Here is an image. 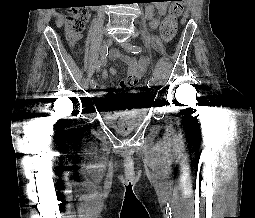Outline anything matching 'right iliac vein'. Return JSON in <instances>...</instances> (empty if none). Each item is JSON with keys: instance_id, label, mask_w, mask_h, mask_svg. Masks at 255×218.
Returning <instances> with one entry per match:
<instances>
[{"instance_id": "1", "label": "right iliac vein", "mask_w": 255, "mask_h": 218, "mask_svg": "<svg viewBox=\"0 0 255 218\" xmlns=\"http://www.w3.org/2000/svg\"><path fill=\"white\" fill-rule=\"evenodd\" d=\"M113 43V40L111 38H108L105 42V46L110 47ZM92 89H96L97 88V83L94 84H90Z\"/></svg>"}]
</instances>
